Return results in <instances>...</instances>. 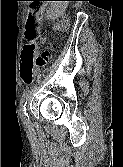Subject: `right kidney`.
<instances>
[{"mask_svg":"<svg viewBox=\"0 0 123 167\" xmlns=\"http://www.w3.org/2000/svg\"><path fill=\"white\" fill-rule=\"evenodd\" d=\"M68 3L67 1H51L47 10V16L52 19L58 18L65 11Z\"/></svg>","mask_w":123,"mask_h":167,"instance_id":"ca27d5eb","label":"right kidney"}]
</instances>
